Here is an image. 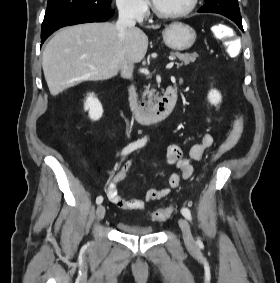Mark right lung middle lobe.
<instances>
[{
    "instance_id": "1",
    "label": "right lung middle lobe",
    "mask_w": 280,
    "mask_h": 283,
    "mask_svg": "<svg viewBox=\"0 0 280 283\" xmlns=\"http://www.w3.org/2000/svg\"><path fill=\"white\" fill-rule=\"evenodd\" d=\"M111 0H48L45 16L63 11L105 12Z\"/></svg>"
}]
</instances>
